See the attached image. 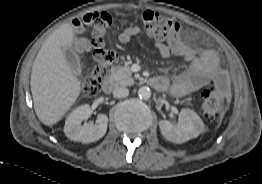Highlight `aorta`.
<instances>
[{
  "label": "aorta",
  "instance_id": "obj_1",
  "mask_svg": "<svg viewBox=\"0 0 262 184\" xmlns=\"http://www.w3.org/2000/svg\"><path fill=\"white\" fill-rule=\"evenodd\" d=\"M138 96L140 99L148 100L151 97V91L148 87H141L138 90Z\"/></svg>",
  "mask_w": 262,
  "mask_h": 184
}]
</instances>
